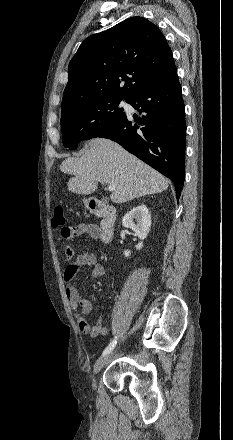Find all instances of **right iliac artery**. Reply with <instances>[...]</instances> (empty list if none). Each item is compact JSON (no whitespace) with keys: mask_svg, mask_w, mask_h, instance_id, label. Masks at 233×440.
Listing matches in <instances>:
<instances>
[{"mask_svg":"<svg viewBox=\"0 0 233 440\" xmlns=\"http://www.w3.org/2000/svg\"><path fill=\"white\" fill-rule=\"evenodd\" d=\"M116 343H117V341H116V337H115V339H113V341L103 351V355L110 353L114 349Z\"/></svg>","mask_w":233,"mask_h":440,"instance_id":"82829eb1","label":"right iliac artery"}]
</instances>
